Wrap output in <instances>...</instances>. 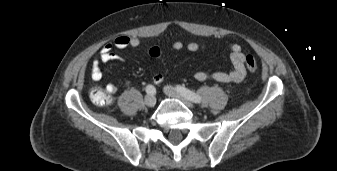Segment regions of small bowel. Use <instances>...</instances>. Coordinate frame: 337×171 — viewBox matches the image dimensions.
<instances>
[{
	"label": "small bowel",
	"instance_id": "small-bowel-1",
	"mask_svg": "<svg viewBox=\"0 0 337 171\" xmlns=\"http://www.w3.org/2000/svg\"><path fill=\"white\" fill-rule=\"evenodd\" d=\"M140 39L136 36L119 35L114 41L106 43L100 50L99 56L92 63L91 67V78L94 81H100L103 77L102 70L100 68V63H107L114 60H121V57L115 52V50H123L126 48H136L140 45ZM209 47L208 44H203L199 42H189L187 44V49L189 51L195 52L201 49ZM172 48L176 51L182 50L184 44L182 41H175L172 44ZM230 52V60L232 63V70L229 72L216 71H197L194 75L197 81L203 82L207 80H215L221 83H239L246 76L245 59L246 56L243 52V48L237 43H231L228 45ZM149 54L152 58L158 59L162 50L159 46H152L149 49ZM164 80V75L161 72L156 73L153 76V83L155 85H160ZM106 92L109 94H115L118 90L117 86L114 84H107L105 87Z\"/></svg>",
	"mask_w": 337,
	"mask_h": 171
}]
</instances>
